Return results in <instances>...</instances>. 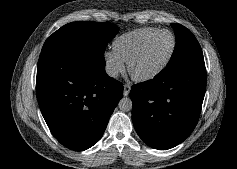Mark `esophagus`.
<instances>
[{
	"instance_id": "1",
	"label": "esophagus",
	"mask_w": 237,
	"mask_h": 169,
	"mask_svg": "<svg viewBox=\"0 0 237 169\" xmlns=\"http://www.w3.org/2000/svg\"><path fill=\"white\" fill-rule=\"evenodd\" d=\"M131 90V85L130 84H125L124 85V91H123V95L124 96H128Z\"/></svg>"
}]
</instances>
